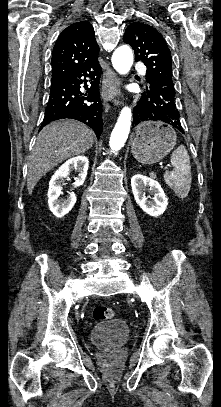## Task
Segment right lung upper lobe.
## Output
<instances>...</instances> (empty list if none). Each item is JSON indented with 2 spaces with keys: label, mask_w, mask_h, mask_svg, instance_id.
<instances>
[{
  "label": "right lung upper lobe",
  "mask_w": 221,
  "mask_h": 407,
  "mask_svg": "<svg viewBox=\"0 0 221 407\" xmlns=\"http://www.w3.org/2000/svg\"><path fill=\"white\" fill-rule=\"evenodd\" d=\"M98 53L92 25L87 21L71 24L61 32L55 43L51 82L95 61Z\"/></svg>",
  "instance_id": "right-lung-upper-lobe-1"
}]
</instances>
